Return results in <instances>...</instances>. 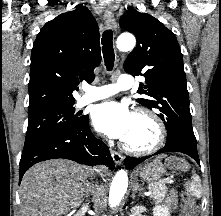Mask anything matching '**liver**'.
I'll list each match as a JSON object with an SVG mask.
<instances>
[{
    "mask_svg": "<svg viewBox=\"0 0 221 216\" xmlns=\"http://www.w3.org/2000/svg\"><path fill=\"white\" fill-rule=\"evenodd\" d=\"M103 175L104 166L98 167ZM88 168L65 159L37 163L20 185L22 216H62L81 205L88 186Z\"/></svg>",
    "mask_w": 221,
    "mask_h": 216,
    "instance_id": "obj_1",
    "label": "liver"
}]
</instances>
